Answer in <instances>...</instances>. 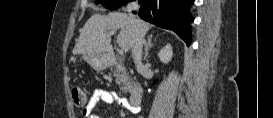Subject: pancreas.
Wrapping results in <instances>:
<instances>
[{"mask_svg": "<svg viewBox=\"0 0 273 118\" xmlns=\"http://www.w3.org/2000/svg\"><path fill=\"white\" fill-rule=\"evenodd\" d=\"M114 76L116 77V83L119 85L120 90L126 93L132 88V79L129 77V74L121 68L120 65L114 70Z\"/></svg>", "mask_w": 273, "mask_h": 118, "instance_id": "1", "label": "pancreas"}]
</instances>
